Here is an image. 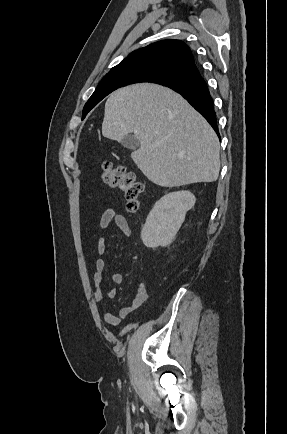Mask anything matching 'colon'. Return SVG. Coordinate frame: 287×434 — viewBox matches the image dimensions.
Returning a JSON list of instances; mask_svg holds the SVG:
<instances>
[{
	"label": "colon",
	"instance_id": "colon-1",
	"mask_svg": "<svg viewBox=\"0 0 287 434\" xmlns=\"http://www.w3.org/2000/svg\"><path fill=\"white\" fill-rule=\"evenodd\" d=\"M102 180L108 186L123 193L126 201V209L136 212L140 207V196L144 191V184L136 179L133 172L124 167H114L106 162L102 166Z\"/></svg>",
	"mask_w": 287,
	"mask_h": 434
}]
</instances>
